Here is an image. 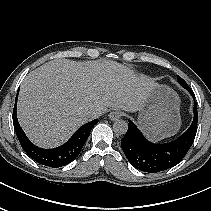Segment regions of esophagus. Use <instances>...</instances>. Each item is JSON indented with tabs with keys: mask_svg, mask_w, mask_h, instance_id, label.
Masks as SVG:
<instances>
[{
	"mask_svg": "<svg viewBox=\"0 0 211 211\" xmlns=\"http://www.w3.org/2000/svg\"><path fill=\"white\" fill-rule=\"evenodd\" d=\"M108 116H109V119H110V120L115 121V120H118L119 118H121L122 113H121L120 111H118V110H113V111H111V112L109 113Z\"/></svg>",
	"mask_w": 211,
	"mask_h": 211,
	"instance_id": "1",
	"label": "esophagus"
}]
</instances>
